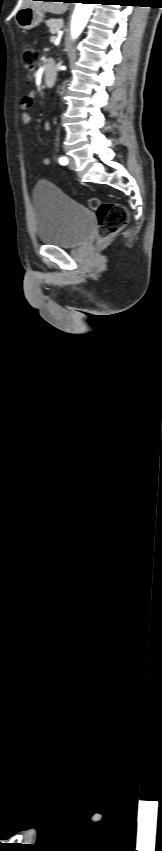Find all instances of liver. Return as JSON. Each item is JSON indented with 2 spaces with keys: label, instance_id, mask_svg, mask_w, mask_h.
I'll use <instances>...</instances> for the list:
<instances>
[{
  "label": "liver",
  "instance_id": "liver-1",
  "mask_svg": "<svg viewBox=\"0 0 162 851\" xmlns=\"http://www.w3.org/2000/svg\"><path fill=\"white\" fill-rule=\"evenodd\" d=\"M22 7H32L37 10L47 11L53 14H63L68 9V3L65 2H53V1H33V0H21L18 8Z\"/></svg>",
  "mask_w": 162,
  "mask_h": 851
}]
</instances>
